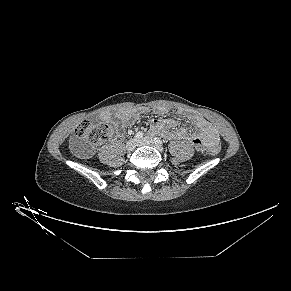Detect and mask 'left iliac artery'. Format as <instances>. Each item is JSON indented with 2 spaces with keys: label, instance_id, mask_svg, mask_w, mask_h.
I'll return each instance as SVG.
<instances>
[{
  "label": "left iliac artery",
  "instance_id": "1",
  "mask_svg": "<svg viewBox=\"0 0 291 291\" xmlns=\"http://www.w3.org/2000/svg\"><path fill=\"white\" fill-rule=\"evenodd\" d=\"M153 140H154V142H155L156 144H158V145H163V142H162V140H161L160 138L155 137Z\"/></svg>",
  "mask_w": 291,
  "mask_h": 291
}]
</instances>
